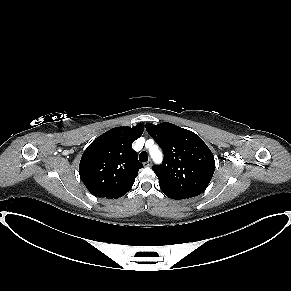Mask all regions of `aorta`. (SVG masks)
<instances>
[{
	"label": "aorta",
	"mask_w": 291,
	"mask_h": 291,
	"mask_svg": "<svg viewBox=\"0 0 291 291\" xmlns=\"http://www.w3.org/2000/svg\"><path fill=\"white\" fill-rule=\"evenodd\" d=\"M150 154L155 162H161L162 153L158 150V148L154 145L150 148Z\"/></svg>",
	"instance_id": "762f6f07"
}]
</instances>
